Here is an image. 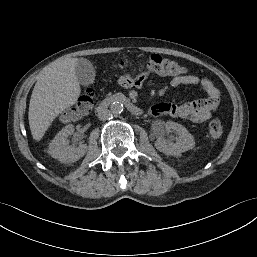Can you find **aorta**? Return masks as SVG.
<instances>
[{
    "mask_svg": "<svg viewBox=\"0 0 257 257\" xmlns=\"http://www.w3.org/2000/svg\"><path fill=\"white\" fill-rule=\"evenodd\" d=\"M111 112L114 115H119L123 112V104L121 102H113L110 106Z\"/></svg>",
    "mask_w": 257,
    "mask_h": 257,
    "instance_id": "762f6f07",
    "label": "aorta"
}]
</instances>
